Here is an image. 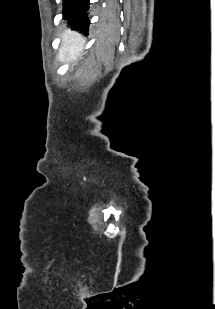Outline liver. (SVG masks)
Segmentation results:
<instances>
[{"label":"liver","mask_w":215,"mask_h":309,"mask_svg":"<svg viewBox=\"0 0 215 309\" xmlns=\"http://www.w3.org/2000/svg\"><path fill=\"white\" fill-rule=\"evenodd\" d=\"M62 46L59 50V58L64 60H76L84 48L85 40L76 30H65L62 34Z\"/></svg>","instance_id":"6515ba94"}]
</instances>
